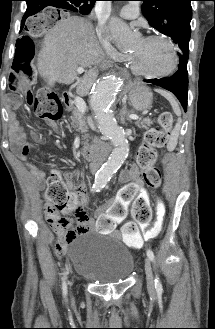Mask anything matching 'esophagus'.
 I'll list each match as a JSON object with an SVG mask.
<instances>
[{
    "mask_svg": "<svg viewBox=\"0 0 215 329\" xmlns=\"http://www.w3.org/2000/svg\"><path fill=\"white\" fill-rule=\"evenodd\" d=\"M122 72H123V73H126V71H125V70H123Z\"/></svg>",
    "mask_w": 215,
    "mask_h": 329,
    "instance_id": "34e87169",
    "label": "esophagus"
}]
</instances>
